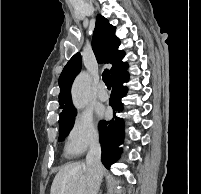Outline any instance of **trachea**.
<instances>
[{
    "mask_svg": "<svg viewBox=\"0 0 201 194\" xmlns=\"http://www.w3.org/2000/svg\"><path fill=\"white\" fill-rule=\"evenodd\" d=\"M102 79L105 83V85L107 86L108 89L111 88V77H110V72L109 70H104V72L102 73Z\"/></svg>",
    "mask_w": 201,
    "mask_h": 194,
    "instance_id": "1",
    "label": "trachea"
}]
</instances>
